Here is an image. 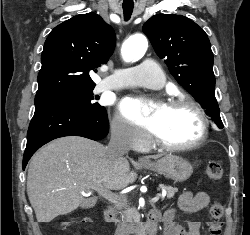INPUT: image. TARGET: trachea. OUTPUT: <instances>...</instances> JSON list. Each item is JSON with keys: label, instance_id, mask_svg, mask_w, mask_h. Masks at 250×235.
Wrapping results in <instances>:
<instances>
[{"label": "trachea", "instance_id": "trachea-1", "mask_svg": "<svg viewBox=\"0 0 250 235\" xmlns=\"http://www.w3.org/2000/svg\"><path fill=\"white\" fill-rule=\"evenodd\" d=\"M134 6H124L123 5V12H124V20L128 21L131 18Z\"/></svg>", "mask_w": 250, "mask_h": 235}]
</instances>
